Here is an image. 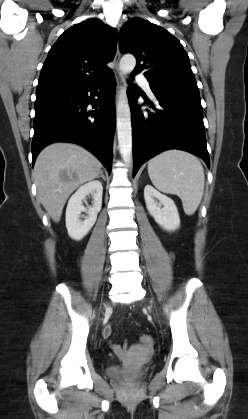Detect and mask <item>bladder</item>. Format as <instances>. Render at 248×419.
<instances>
[{
    "label": "bladder",
    "instance_id": "bladder-1",
    "mask_svg": "<svg viewBox=\"0 0 248 419\" xmlns=\"http://www.w3.org/2000/svg\"><path fill=\"white\" fill-rule=\"evenodd\" d=\"M107 373L114 379L131 384L139 383L147 376L145 370L133 371L126 366H110L107 368Z\"/></svg>",
    "mask_w": 248,
    "mask_h": 419
}]
</instances>
